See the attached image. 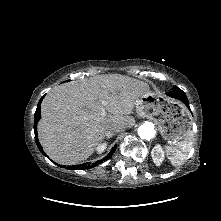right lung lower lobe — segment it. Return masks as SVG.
<instances>
[{"label":"right lung lower lobe","instance_id":"right-lung-lower-lobe-1","mask_svg":"<svg viewBox=\"0 0 221 221\" xmlns=\"http://www.w3.org/2000/svg\"><path fill=\"white\" fill-rule=\"evenodd\" d=\"M44 96L40 99L38 105H37V109H36V112H35V116H34V131H35V141H36V144L40 150V152L44 155V156H47L43 149H42V146L40 145L39 143V140H38V134H37V123L38 121L40 120L41 118V112H40V107H41V102L43 100ZM116 150V145L114 146V148H112L111 152L102 160V161H105L107 159H109L113 153L115 152ZM101 163V161H97L95 163H92V164H81V165H75V166H68L67 168L70 169V170H83V169H89V168H92L94 166H96L97 164ZM63 168H66V166L64 165H59Z\"/></svg>","mask_w":221,"mask_h":221}]
</instances>
